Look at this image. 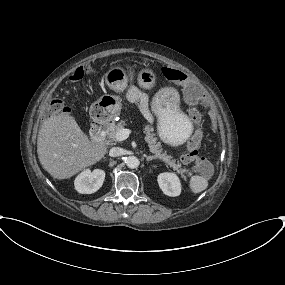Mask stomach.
I'll return each mask as SVG.
<instances>
[{
    "label": "stomach",
    "mask_w": 285,
    "mask_h": 285,
    "mask_svg": "<svg viewBox=\"0 0 285 285\" xmlns=\"http://www.w3.org/2000/svg\"><path fill=\"white\" fill-rule=\"evenodd\" d=\"M105 83L115 92H123L128 86L127 72L123 67H111L105 74ZM138 84L150 89L156 81L155 73L142 69L138 74ZM152 110L158 117V133L161 140L171 146L183 144L191 134L192 124L179 110V94L168 87L159 90L152 100ZM121 112V99L116 95H103L94 102L89 110L95 123L108 124Z\"/></svg>",
    "instance_id": "0dacf381"
}]
</instances>
